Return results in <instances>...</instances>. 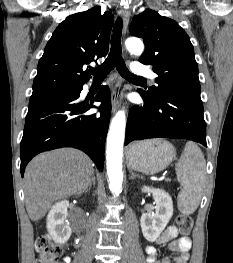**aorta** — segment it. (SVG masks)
Wrapping results in <instances>:
<instances>
[{"mask_svg":"<svg viewBox=\"0 0 233 263\" xmlns=\"http://www.w3.org/2000/svg\"><path fill=\"white\" fill-rule=\"evenodd\" d=\"M125 44L128 51L135 55H141L144 50L142 41L135 37L128 38ZM125 126L126 117L125 112L122 110L112 119L107 136V174L109 178V189L114 196H118L122 191V157Z\"/></svg>","mask_w":233,"mask_h":263,"instance_id":"obj_1","label":"aorta"}]
</instances>
